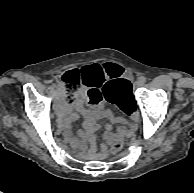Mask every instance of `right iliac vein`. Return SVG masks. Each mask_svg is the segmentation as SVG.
<instances>
[{
	"label": "right iliac vein",
	"mask_w": 194,
	"mask_h": 193,
	"mask_svg": "<svg viewBox=\"0 0 194 193\" xmlns=\"http://www.w3.org/2000/svg\"><path fill=\"white\" fill-rule=\"evenodd\" d=\"M57 95H58V99L62 100V98H63V89H62V87H60L58 89ZM59 114L60 113L57 111V115H59Z\"/></svg>",
	"instance_id": "obj_1"
}]
</instances>
